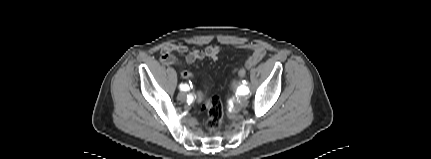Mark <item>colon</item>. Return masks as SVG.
I'll use <instances>...</instances> for the list:
<instances>
[{
  "instance_id": "5ec220e1",
  "label": "colon",
  "mask_w": 431,
  "mask_h": 159,
  "mask_svg": "<svg viewBox=\"0 0 431 159\" xmlns=\"http://www.w3.org/2000/svg\"><path fill=\"white\" fill-rule=\"evenodd\" d=\"M245 73L244 68L241 67L237 70V77L243 80L246 77ZM180 77L183 80H188L190 82H193L196 79L194 74H192L188 69H181ZM193 96L197 102H200L201 100L204 102V107L207 111V119L205 122L206 128L209 131L219 130L223 119V106L220 98L218 96L204 97L201 90H194Z\"/></svg>"
}]
</instances>
